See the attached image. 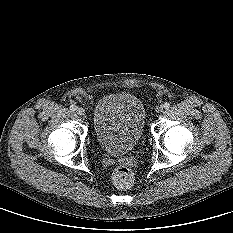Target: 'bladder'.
<instances>
[{"instance_id":"31cf9c89","label":"bladder","mask_w":233,"mask_h":233,"mask_svg":"<svg viewBox=\"0 0 233 233\" xmlns=\"http://www.w3.org/2000/svg\"><path fill=\"white\" fill-rule=\"evenodd\" d=\"M92 119L100 147L109 154L121 155L131 151L141 139L146 111L138 97L112 93L97 101Z\"/></svg>"}]
</instances>
